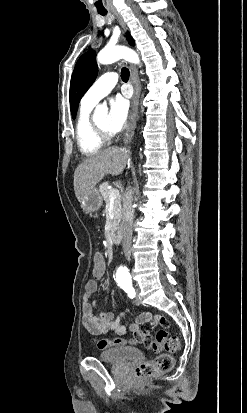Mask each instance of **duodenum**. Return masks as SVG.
<instances>
[{"label":"duodenum","instance_id":"1","mask_svg":"<svg viewBox=\"0 0 247 413\" xmlns=\"http://www.w3.org/2000/svg\"><path fill=\"white\" fill-rule=\"evenodd\" d=\"M119 241V230L116 226L110 228L108 232V242L112 245L117 244Z\"/></svg>","mask_w":247,"mask_h":413}]
</instances>
